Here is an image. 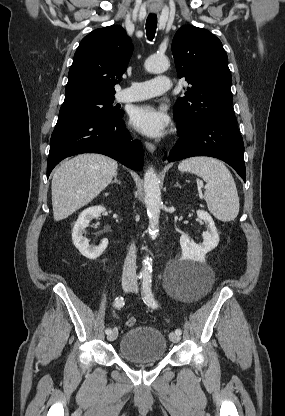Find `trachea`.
<instances>
[{
	"label": "trachea",
	"mask_w": 285,
	"mask_h": 416,
	"mask_svg": "<svg viewBox=\"0 0 285 416\" xmlns=\"http://www.w3.org/2000/svg\"><path fill=\"white\" fill-rule=\"evenodd\" d=\"M157 28V16L155 13H150L146 20V34L149 40H153Z\"/></svg>",
	"instance_id": "obj_1"
}]
</instances>
